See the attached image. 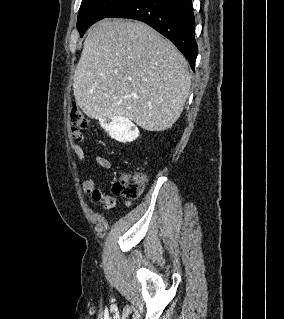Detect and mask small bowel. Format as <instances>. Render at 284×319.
Wrapping results in <instances>:
<instances>
[{"label":"small bowel","instance_id":"small-bowel-1","mask_svg":"<svg viewBox=\"0 0 284 319\" xmlns=\"http://www.w3.org/2000/svg\"><path fill=\"white\" fill-rule=\"evenodd\" d=\"M71 138L73 140L72 143V150L75 153V155L80 160H85V151L82 148V146L79 144L83 140V135L81 131L77 128L71 129ZM96 162L99 166H101L104 169H110L111 163L110 161L103 157L98 156L96 158ZM82 188L84 193L87 195L88 200L91 204L96 205L98 203L103 204V207L105 210H111L114 208L116 200L113 196L104 193L95 183L93 178L86 179L83 184Z\"/></svg>","mask_w":284,"mask_h":319}]
</instances>
